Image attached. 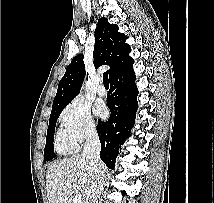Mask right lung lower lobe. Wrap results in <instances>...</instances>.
Segmentation results:
<instances>
[{
    "instance_id": "1",
    "label": "right lung lower lobe",
    "mask_w": 214,
    "mask_h": 203,
    "mask_svg": "<svg viewBox=\"0 0 214 203\" xmlns=\"http://www.w3.org/2000/svg\"><path fill=\"white\" fill-rule=\"evenodd\" d=\"M138 90L135 84L133 68L110 79V91L107 106L110 109V118L97 126L101 142L100 157L106 166L114 169L115 159L119 148L129 137L134 126L135 113L138 108L136 100Z\"/></svg>"
}]
</instances>
